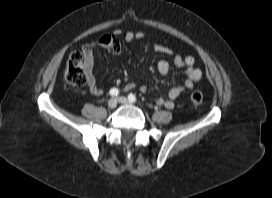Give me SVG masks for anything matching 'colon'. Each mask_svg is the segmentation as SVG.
<instances>
[{
    "mask_svg": "<svg viewBox=\"0 0 272 198\" xmlns=\"http://www.w3.org/2000/svg\"><path fill=\"white\" fill-rule=\"evenodd\" d=\"M65 81L73 87H81L86 84L85 60L80 51H73L69 55L65 69ZM190 99L194 105H200L203 95L201 92L195 91L191 94Z\"/></svg>",
    "mask_w": 272,
    "mask_h": 198,
    "instance_id": "obj_1",
    "label": "colon"
}]
</instances>
